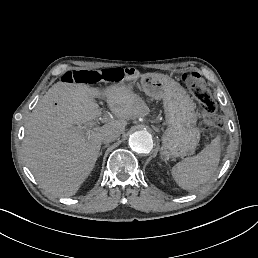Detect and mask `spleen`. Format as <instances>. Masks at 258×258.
<instances>
[{
  "label": "spleen",
  "mask_w": 258,
  "mask_h": 258,
  "mask_svg": "<svg viewBox=\"0 0 258 258\" xmlns=\"http://www.w3.org/2000/svg\"><path fill=\"white\" fill-rule=\"evenodd\" d=\"M221 156V135L192 157L176 164L172 174L177 184L187 190H194L208 182L218 168Z\"/></svg>",
  "instance_id": "3e777b00"
}]
</instances>
